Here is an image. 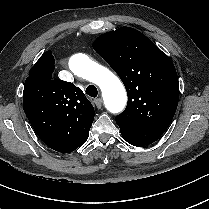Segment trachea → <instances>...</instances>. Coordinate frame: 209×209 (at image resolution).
<instances>
[{
    "label": "trachea",
    "mask_w": 209,
    "mask_h": 209,
    "mask_svg": "<svg viewBox=\"0 0 209 209\" xmlns=\"http://www.w3.org/2000/svg\"><path fill=\"white\" fill-rule=\"evenodd\" d=\"M86 94L95 98L98 95V90L94 85H89L86 88Z\"/></svg>",
    "instance_id": "3493384b"
}]
</instances>
